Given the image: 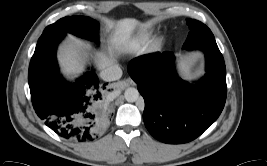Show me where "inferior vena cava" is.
<instances>
[{
	"mask_svg": "<svg viewBox=\"0 0 267 166\" xmlns=\"http://www.w3.org/2000/svg\"><path fill=\"white\" fill-rule=\"evenodd\" d=\"M100 76L106 82L115 81L121 78L122 69L118 65H112L104 69Z\"/></svg>",
	"mask_w": 267,
	"mask_h": 166,
	"instance_id": "602c4592",
	"label": "inferior vena cava"
}]
</instances>
